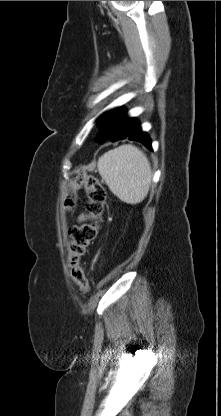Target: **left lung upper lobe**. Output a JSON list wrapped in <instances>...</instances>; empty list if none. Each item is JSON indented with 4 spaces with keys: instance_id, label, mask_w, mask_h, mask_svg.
Listing matches in <instances>:
<instances>
[{
    "instance_id": "5c2ea615",
    "label": "left lung upper lobe",
    "mask_w": 221,
    "mask_h": 416,
    "mask_svg": "<svg viewBox=\"0 0 221 416\" xmlns=\"http://www.w3.org/2000/svg\"><path fill=\"white\" fill-rule=\"evenodd\" d=\"M133 121V118L127 116V111L120 110V108L106 112L97 120V125L100 128L98 140L115 141L126 137L131 130Z\"/></svg>"
}]
</instances>
